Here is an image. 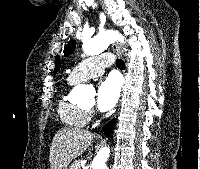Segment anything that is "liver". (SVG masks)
I'll list each match as a JSON object with an SVG mask.
<instances>
[{
	"label": "liver",
	"mask_w": 200,
	"mask_h": 169,
	"mask_svg": "<svg viewBox=\"0 0 200 169\" xmlns=\"http://www.w3.org/2000/svg\"><path fill=\"white\" fill-rule=\"evenodd\" d=\"M93 134L87 130L62 128L53 137L49 161L50 169H67L71 161L91 145Z\"/></svg>",
	"instance_id": "6515ba94"
}]
</instances>
